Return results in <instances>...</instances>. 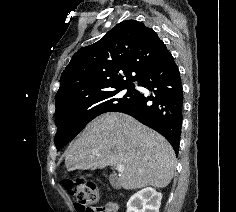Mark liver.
<instances>
[{
	"label": "liver",
	"mask_w": 236,
	"mask_h": 212,
	"mask_svg": "<svg viewBox=\"0 0 236 212\" xmlns=\"http://www.w3.org/2000/svg\"><path fill=\"white\" fill-rule=\"evenodd\" d=\"M65 165L67 171L123 165L118 182L124 189L164 188L173 178L176 157L159 133L127 114L110 112L85 127L66 152Z\"/></svg>",
	"instance_id": "obj_1"
}]
</instances>
